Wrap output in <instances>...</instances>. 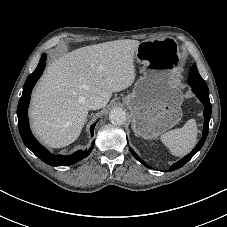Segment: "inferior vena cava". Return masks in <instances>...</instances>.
Listing matches in <instances>:
<instances>
[{"mask_svg":"<svg viewBox=\"0 0 227 227\" xmlns=\"http://www.w3.org/2000/svg\"><path fill=\"white\" fill-rule=\"evenodd\" d=\"M104 105L102 98L99 96H91L87 101H86V107L89 110H96L102 108Z\"/></svg>","mask_w":227,"mask_h":227,"instance_id":"602c4592","label":"inferior vena cava"}]
</instances>
